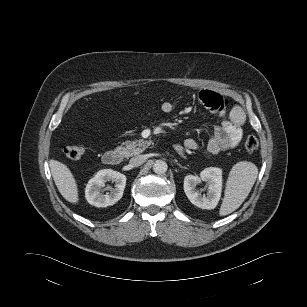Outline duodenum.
Listing matches in <instances>:
<instances>
[{
  "mask_svg": "<svg viewBox=\"0 0 307 307\" xmlns=\"http://www.w3.org/2000/svg\"><path fill=\"white\" fill-rule=\"evenodd\" d=\"M102 160L104 164L109 165V166H115L118 165L121 160L122 156L121 153L117 150H107L102 157Z\"/></svg>",
  "mask_w": 307,
  "mask_h": 307,
  "instance_id": "410a0bca",
  "label": "duodenum"
}]
</instances>
